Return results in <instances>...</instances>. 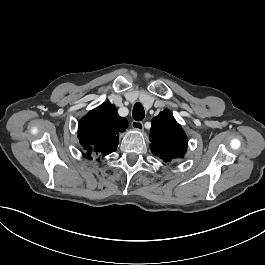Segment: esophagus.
<instances>
[{
  "mask_svg": "<svg viewBox=\"0 0 265 265\" xmlns=\"http://www.w3.org/2000/svg\"><path fill=\"white\" fill-rule=\"evenodd\" d=\"M132 128L138 131H143L144 130V126L143 123L141 121H132L131 123Z\"/></svg>",
  "mask_w": 265,
  "mask_h": 265,
  "instance_id": "34e87169",
  "label": "esophagus"
}]
</instances>
